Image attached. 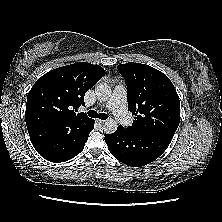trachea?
I'll use <instances>...</instances> for the list:
<instances>
[{"label":"trachea","instance_id":"3493384b","mask_svg":"<svg viewBox=\"0 0 222 222\" xmlns=\"http://www.w3.org/2000/svg\"><path fill=\"white\" fill-rule=\"evenodd\" d=\"M88 116L92 118H99L101 120H106L108 118V115L105 113H97L94 110L88 111Z\"/></svg>","mask_w":222,"mask_h":222}]
</instances>
